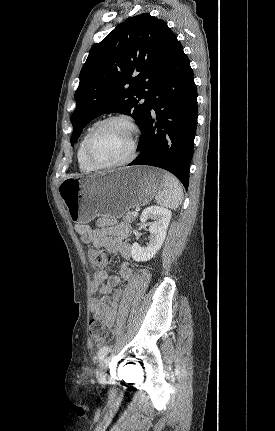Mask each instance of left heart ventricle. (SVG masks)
<instances>
[{"label":"left heart ventricle","instance_id":"obj_1","mask_svg":"<svg viewBox=\"0 0 275 431\" xmlns=\"http://www.w3.org/2000/svg\"><path fill=\"white\" fill-rule=\"evenodd\" d=\"M131 149V134L121 122H111L102 127L90 145L91 158L101 164H111L125 159Z\"/></svg>","mask_w":275,"mask_h":431}]
</instances>
